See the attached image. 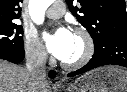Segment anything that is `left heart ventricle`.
Returning a JSON list of instances; mask_svg holds the SVG:
<instances>
[{
    "label": "left heart ventricle",
    "instance_id": "left-heart-ventricle-1",
    "mask_svg": "<svg viewBox=\"0 0 127 92\" xmlns=\"http://www.w3.org/2000/svg\"><path fill=\"white\" fill-rule=\"evenodd\" d=\"M84 41L79 36H73V42L67 56L63 59L65 62H72L77 60L84 52Z\"/></svg>",
    "mask_w": 127,
    "mask_h": 92
}]
</instances>
